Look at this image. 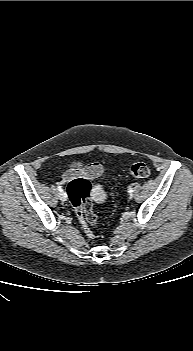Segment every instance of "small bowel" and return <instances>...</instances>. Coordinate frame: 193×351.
I'll return each mask as SVG.
<instances>
[{"label": "small bowel", "mask_w": 193, "mask_h": 351, "mask_svg": "<svg viewBox=\"0 0 193 351\" xmlns=\"http://www.w3.org/2000/svg\"><path fill=\"white\" fill-rule=\"evenodd\" d=\"M104 175V168L98 163L83 164L80 162L74 163L69 170H67L61 179V183H66L74 178H88L95 179Z\"/></svg>", "instance_id": "small-bowel-1"}]
</instances>
